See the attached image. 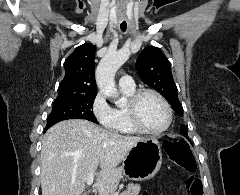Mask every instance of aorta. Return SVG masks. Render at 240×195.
I'll return each mask as SVG.
<instances>
[{
	"label": "aorta",
	"instance_id": "762f6f07",
	"mask_svg": "<svg viewBox=\"0 0 240 195\" xmlns=\"http://www.w3.org/2000/svg\"><path fill=\"white\" fill-rule=\"evenodd\" d=\"M129 50H119V52H107L106 56L100 60L96 72V84L107 98H118V90L115 86V74L127 60H129Z\"/></svg>",
	"mask_w": 240,
	"mask_h": 195
}]
</instances>
